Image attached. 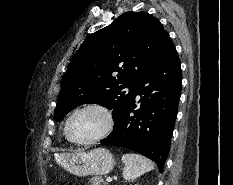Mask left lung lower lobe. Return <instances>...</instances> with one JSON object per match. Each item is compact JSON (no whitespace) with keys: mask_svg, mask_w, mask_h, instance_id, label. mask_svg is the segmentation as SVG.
<instances>
[{"mask_svg":"<svg viewBox=\"0 0 233 185\" xmlns=\"http://www.w3.org/2000/svg\"><path fill=\"white\" fill-rule=\"evenodd\" d=\"M182 73L171 38L140 77L135 87L141 97L136 110L135 97L111 134L101 144L136 151L158 164L163 172L181 96ZM134 115H133V114Z\"/></svg>","mask_w":233,"mask_h":185,"instance_id":"1","label":"left lung lower lobe"}]
</instances>
